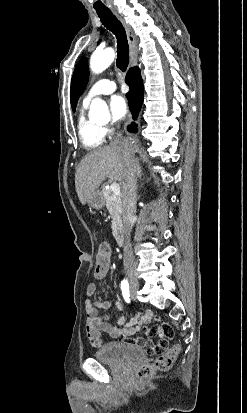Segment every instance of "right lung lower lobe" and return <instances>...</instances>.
Returning <instances> with one entry per match:
<instances>
[{"mask_svg":"<svg viewBox=\"0 0 247 413\" xmlns=\"http://www.w3.org/2000/svg\"><path fill=\"white\" fill-rule=\"evenodd\" d=\"M126 83L130 87V91L127 93L128 104L133 114V118L137 117V114L141 108L143 102V81L140 76V71L137 70L133 73L127 74L125 78ZM128 130L131 132H137V126L133 122L128 126Z\"/></svg>","mask_w":247,"mask_h":413,"instance_id":"obj_1","label":"right lung lower lobe"}]
</instances>
